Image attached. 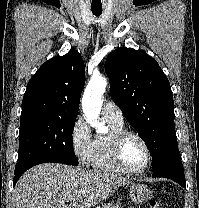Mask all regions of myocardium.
Listing matches in <instances>:
<instances>
[{"label":"myocardium","instance_id":"1","mask_svg":"<svg viewBox=\"0 0 199 208\" xmlns=\"http://www.w3.org/2000/svg\"><path fill=\"white\" fill-rule=\"evenodd\" d=\"M129 137H134L138 139L145 147V150L147 153L146 162L143 164L142 167L138 169H131L127 167L122 157L123 144L126 141V139ZM111 153H112L113 161L116 164V166L119 169H121L123 172L128 173V174H133V175L141 174L150 166L152 162V151L146 139L139 133L126 130V129L119 132L118 134L114 136L112 143H111Z\"/></svg>","mask_w":199,"mask_h":208}]
</instances>
